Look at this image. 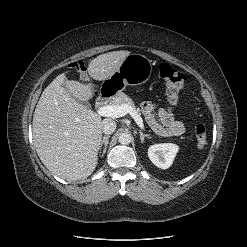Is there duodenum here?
Here are the masks:
<instances>
[{"label":"duodenum","instance_id":"410a0bca","mask_svg":"<svg viewBox=\"0 0 247 247\" xmlns=\"http://www.w3.org/2000/svg\"><path fill=\"white\" fill-rule=\"evenodd\" d=\"M111 92L110 91H103L96 99V104L98 106H102L104 104H106L111 96Z\"/></svg>","mask_w":247,"mask_h":247}]
</instances>
